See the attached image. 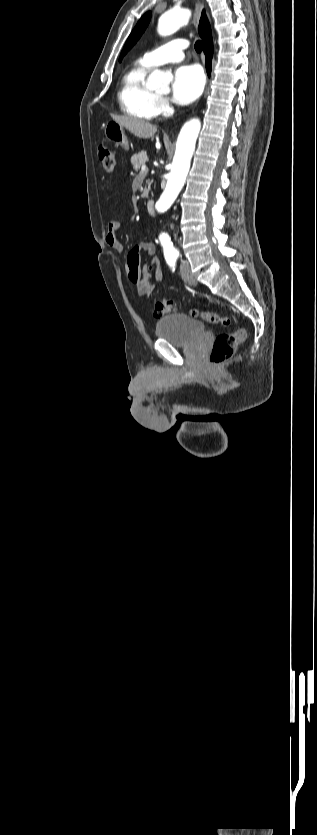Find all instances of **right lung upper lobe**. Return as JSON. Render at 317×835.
Masks as SVG:
<instances>
[{
    "mask_svg": "<svg viewBox=\"0 0 317 835\" xmlns=\"http://www.w3.org/2000/svg\"><path fill=\"white\" fill-rule=\"evenodd\" d=\"M207 28H210V25H209L208 20L206 18L205 12L203 11L201 19H200V23H199V29H198L200 36L203 35L204 31Z\"/></svg>",
    "mask_w": 317,
    "mask_h": 835,
    "instance_id": "right-lung-upper-lobe-1",
    "label": "right lung upper lobe"
}]
</instances>
